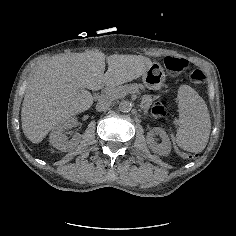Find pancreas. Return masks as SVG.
<instances>
[{
  "mask_svg": "<svg viewBox=\"0 0 236 236\" xmlns=\"http://www.w3.org/2000/svg\"><path fill=\"white\" fill-rule=\"evenodd\" d=\"M139 88L143 89L144 86L139 85ZM135 90H136L135 84L130 83V84L125 85L124 88L120 87L118 89L115 88V89L108 90L104 94L103 98H104V100H107V101H113V100L117 99L119 95L123 96V95H125L126 92L127 93H133V92H135Z\"/></svg>",
  "mask_w": 236,
  "mask_h": 236,
  "instance_id": "1",
  "label": "pancreas"
}]
</instances>
